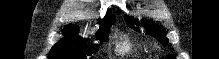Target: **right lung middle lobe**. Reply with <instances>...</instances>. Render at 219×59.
<instances>
[{"label": "right lung middle lobe", "instance_id": "1", "mask_svg": "<svg viewBox=\"0 0 219 59\" xmlns=\"http://www.w3.org/2000/svg\"><path fill=\"white\" fill-rule=\"evenodd\" d=\"M110 27L111 25L99 29L96 33L97 39L106 41ZM77 32V27L67 26L63 32L65 37L52 47L49 59H87L86 56L98 51V45L86 47L84 39L77 36Z\"/></svg>", "mask_w": 219, "mask_h": 59}]
</instances>
